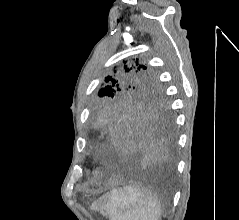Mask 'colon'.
Listing matches in <instances>:
<instances>
[{"mask_svg": "<svg viewBox=\"0 0 239 220\" xmlns=\"http://www.w3.org/2000/svg\"><path fill=\"white\" fill-rule=\"evenodd\" d=\"M108 91H109V90H105V91H104V95H106V93H107Z\"/></svg>", "mask_w": 239, "mask_h": 220, "instance_id": "5ec220e1", "label": "colon"}]
</instances>
